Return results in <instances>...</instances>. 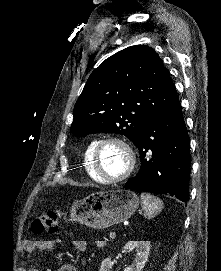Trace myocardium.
Wrapping results in <instances>:
<instances>
[{"instance_id":"myocardium-1","label":"myocardium","mask_w":221,"mask_h":271,"mask_svg":"<svg viewBox=\"0 0 221 271\" xmlns=\"http://www.w3.org/2000/svg\"><path fill=\"white\" fill-rule=\"evenodd\" d=\"M97 140L95 145H90L93 147L91 159L93 161L94 171L98 172L97 176L105 177L106 173L103 172V165L100 161V151L105 150V147H115V150H123V155H125L122 159V164H126V171L118 176H112L108 178H104L102 184H115V183H123V178H128L133 170L135 169V165L137 163V159L132 157L133 153H136V150H129L128 142H124V140H129L123 135L119 134H106V137L95 138ZM94 172V173H95Z\"/></svg>"}]
</instances>
